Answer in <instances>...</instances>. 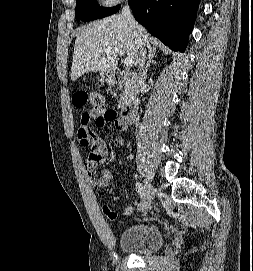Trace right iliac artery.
<instances>
[{
	"mask_svg": "<svg viewBox=\"0 0 253 271\" xmlns=\"http://www.w3.org/2000/svg\"><path fill=\"white\" fill-rule=\"evenodd\" d=\"M135 186H136V191H137V193H138V194L140 195V197L142 198L143 195H144V190H143V185H142V183L136 182Z\"/></svg>",
	"mask_w": 253,
	"mask_h": 271,
	"instance_id": "obj_1",
	"label": "right iliac artery"
}]
</instances>
